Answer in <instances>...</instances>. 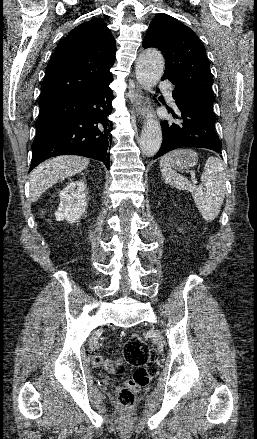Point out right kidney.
Wrapping results in <instances>:
<instances>
[{
    "label": "right kidney",
    "instance_id": "right-kidney-1",
    "mask_svg": "<svg viewBox=\"0 0 257 439\" xmlns=\"http://www.w3.org/2000/svg\"><path fill=\"white\" fill-rule=\"evenodd\" d=\"M60 203L55 212L57 221L77 222L84 214L87 203L85 185L82 181L70 182L60 193Z\"/></svg>",
    "mask_w": 257,
    "mask_h": 439
}]
</instances>
